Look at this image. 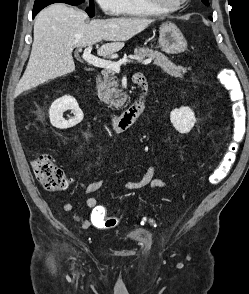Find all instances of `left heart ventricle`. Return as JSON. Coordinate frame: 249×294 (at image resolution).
<instances>
[{"label":"left heart ventricle","mask_w":249,"mask_h":294,"mask_svg":"<svg viewBox=\"0 0 249 294\" xmlns=\"http://www.w3.org/2000/svg\"><path fill=\"white\" fill-rule=\"evenodd\" d=\"M163 6H175L181 3L183 0H158Z\"/></svg>","instance_id":"b2bd125f"}]
</instances>
